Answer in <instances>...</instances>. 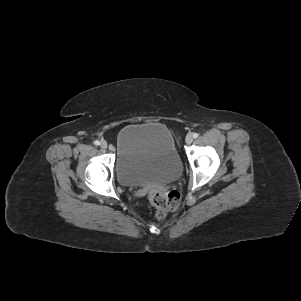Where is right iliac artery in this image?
Returning <instances> with one entry per match:
<instances>
[{
	"label": "right iliac artery",
	"instance_id": "82829eb1",
	"mask_svg": "<svg viewBox=\"0 0 301 301\" xmlns=\"http://www.w3.org/2000/svg\"><path fill=\"white\" fill-rule=\"evenodd\" d=\"M94 144H95L96 146H98V145H100V142H99L98 140H95V141H94Z\"/></svg>",
	"mask_w": 301,
	"mask_h": 301
}]
</instances>
